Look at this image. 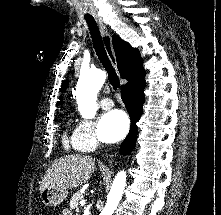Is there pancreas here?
<instances>
[{
	"instance_id": "cf45deb5",
	"label": "pancreas",
	"mask_w": 221,
	"mask_h": 215,
	"mask_svg": "<svg viewBox=\"0 0 221 215\" xmlns=\"http://www.w3.org/2000/svg\"><path fill=\"white\" fill-rule=\"evenodd\" d=\"M83 197L84 193L81 192H76L75 194H73L70 200V208L78 210L79 201H81Z\"/></svg>"
}]
</instances>
